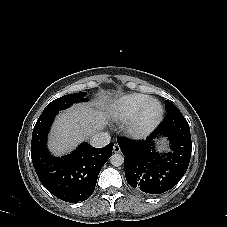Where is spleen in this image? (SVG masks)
<instances>
[{
  "mask_svg": "<svg viewBox=\"0 0 227 227\" xmlns=\"http://www.w3.org/2000/svg\"><path fill=\"white\" fill-rule=\"evenodd\" d=\"M151 148L156 156L167 158L173 154L175 150V142L170 135L159 133L153 137Z\"/></svg>",
  "mask_w": 227,
  "mask_h": 227,
  "instance_id": "3e777b00",
  "label": "spleen"
}]
</instances>
